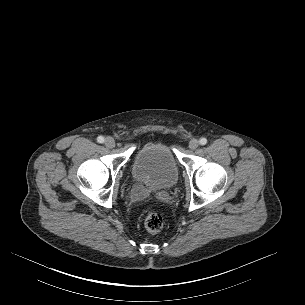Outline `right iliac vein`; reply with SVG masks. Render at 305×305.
Wrapping results in <instances>:
<instances>
[{
    "mask_svg": "<svg viewBox=\"0 0 305 305\" xmlns=\"http://www.w3.org/2000/svg\"><path fill=\"white\" fill-rule=\"evenodd\" d=\"M105 146L106 147H108V148H113V147H115V141H114V139L112 138V137H107L106 139H105Z\"/></svg>",
    "mask_w": 305,
    "mask_h": 305,
    "instance_id": "1",
    "label": "right iliac vein"
}]
</instances>
